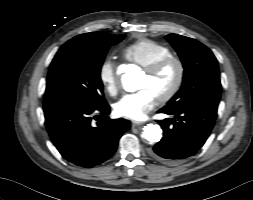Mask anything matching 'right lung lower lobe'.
<instances>
[{"label": "right lung lower lobe", "mask_w": 253, "mask_h": 200, "mask_svg": "<svg viewBox=\"0 0 253 200\" xmlns=\"http://www.w3.org/2000/svg\"><path fill=\"white\" fill-rule=\"evenodd\" d=\"M43 109L53 144L66 160L81 167L91 168L109 159L121 135L130 129L127 120L108 118L110 106L106 102L94 107L56 104Z\"/></svg>", "instance_id": "obj_1"}]
</instances>
